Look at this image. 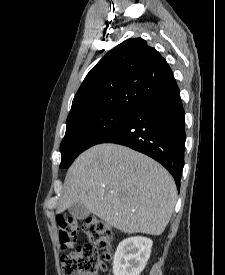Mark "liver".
Returning a JSON list of instances; mask_svg holds the SVG:
<instances>
[{"instance_id": "liver-1", "label": "liver", "mask_w": 225, "mask_h": 275, "mask_svg": "<svg viewBox=\"0 0 225 275\" xmlns=\"http://www.w3.org/2000/svg\"><path fill=\"white\" fill-rule=\"evenodd\" d=\"M176 197L175 182L159 163L122 145L97 144L69 168L56 212L80 202L122 232L160 235Z\"/></svg>"}]
</instances>
